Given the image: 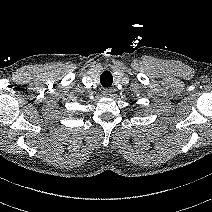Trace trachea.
I'll return each mask as SVG.
<instances>
[{
  "label": "trachea",
  "instance_id": "trachea-1",
  "mask_svg": "<svg viewBox=\"0 0 212 212\" xmlns=\"http://www.w3.org/2000/svg\"><path fill=\"white\" fill-rule=\"evenodd\" d=\"M100 83L103 87H110L113 83V76L109 71H104L100 76Z\"/></svg>",
  "mask_w": 212,
  "mask_h": 212
}]
</instances>
